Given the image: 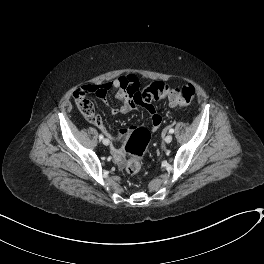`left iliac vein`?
Wrapping results in <instances>:
<instances>
[{"instance_id": "left-iliac-vein-1", "label": "left iliac vein", "mask_w": 264, "mask_h": 264, "mask_svg": "<svg viewBox=\"0 0 264 264\" xmlns=\"http://www.w3.org/2000/svg\"><path fill=\"white\" fill-rule=\"evenodd\" d=\"M172 139H173L172 135L168 134V135H166V137L164 138V141H165L166 143H171Z\"/></svg>"}]
</instances>
